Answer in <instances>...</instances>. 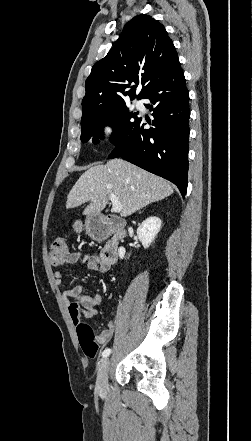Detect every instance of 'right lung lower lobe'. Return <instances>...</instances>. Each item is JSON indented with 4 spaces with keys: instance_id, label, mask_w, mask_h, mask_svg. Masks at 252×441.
I'll return each mask as SVG.
<instances>
[{
    "instance_id": "right-lung-lower-lobe-1",
    "label": "right lung lower lobe",
    "mask_w": 252,
    "mask_h": 441,
    "mask_svg": "<svg viewBox=\"0 0 252 441\" xmlns=\"http://www.w3.org/2000/svg\"><path fill=\"white\" fill-rule=\"evenodd\" d=\"M143 98L152 103L146 106L154 112V128L145 129L144 120L139 118L108 158L121 157L173 182L184 197L188 184L190 109L189 92L179 60Z\"/></svg>"
}]
</instances>
